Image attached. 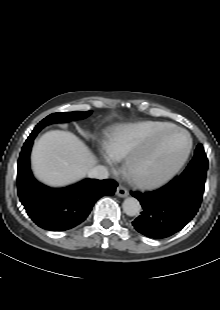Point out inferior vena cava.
Segmentation results:
<instances>
[{
    "label": "inferior vena cava",
    "instance_id": "obj_1",
    "mask_svg": "<svg viewBox=\"0 0 220 310\" xmlns=\"http://www.w3.org/2000/svg\"><path fill=\"white\" fill-rule=\"evenodd\" d=\"M109 176L106 167L98 165L88 171V177L95 179H107Z\"/></svg>",
    "mask_w": 220,
    "mask_h": 310
}]
</instances>
